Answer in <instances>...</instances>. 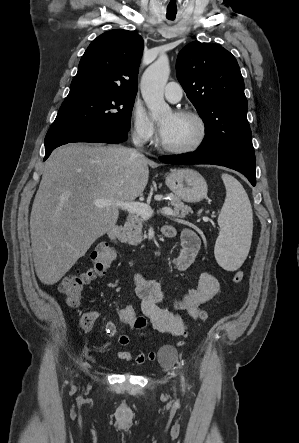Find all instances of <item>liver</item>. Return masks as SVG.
<instances>
[{"mask_svg": "<svg viewBox=\"0 0 299 443\" xmlns=\"http://www.w3.org/2000/svg\"><path fill=\"white\" fill-rule=\"evenodd\" d=\"M157 164L123 146L69 144L46 161L30 215L35 271L57 283L91 245L114 228L119 207L98 208L96 199L133 201Z\"/></svg>", "mask_w": 299, "mask_h": 443, "instance_id": "1", "label": "liver"}]
</instances>
